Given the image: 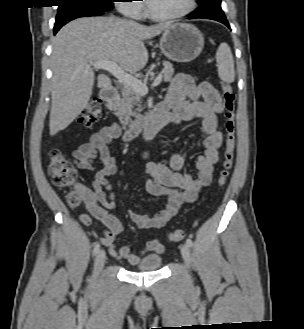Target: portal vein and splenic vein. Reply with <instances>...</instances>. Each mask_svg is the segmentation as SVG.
Wrapping results in <instances>:
<instances>
[{
	"instance_id": "1",
	"label": "portal vein and splenic vein",
	"mask_w": 304,
	"mask_h": 329,
	"mask_svg": "<svg viewBox=\"0 0 304 329\" xmlns=\"http://www.w3.org/2000/svg\"><path fill=\"white\" fill-rule=\"evenodd\" d=\"M91 65L95 69H103L111 73L114 77H116L120 82L123 84L131 87L134 91L139 93L140 95H146L148 93V87L145 83H143L141 80L137 79L133 75L125 72L123 69H121L115 62L112 61H97L91 63ZM162 81V76L158 75L152 86H157Z\"/></svg>"
}]
</instances>
